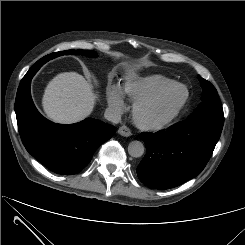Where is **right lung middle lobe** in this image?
<instances>
[{
  "label": "right lung middle lobe",
  "instance_id": "1",
  "mask_svg": "<svg viewBox=\"0 0 245 245\" xmlns=\"http://www.w3.org/2000/svg\"><path fill=\"white\" fill-rule=\"evenodd\" d=\"M69 54H83V55H87V56H96V53L94 51L91 50H66V51H61V52H56V53H52L49 54L43 58H41L39 61H37V63L43 65L45 62H47L50 59H53L55 57L61 56V55H69Z\"/></svg>",
  "mask_w": 245,
  "mask_h": 245
}]
</instances>
